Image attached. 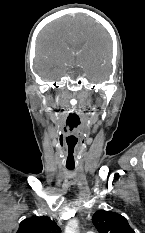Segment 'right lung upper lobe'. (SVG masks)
<instances>
[{
	"mask_svg": "<svg viewBox=\"0 0 145 233\" xmlns=\"http://www.w3.org/2000/svg\"><path fill=\"white\" fill-rule=\"evenodd\" d=\"M17 233H61V229L49 217L35 216L23 220Z\"/></svg>",
	"mask_w": 145,
	"mask_h": 233,
	"instance_id": "cb5924a9",
	"label": "right lung upper lobe"
}]
</instances>
